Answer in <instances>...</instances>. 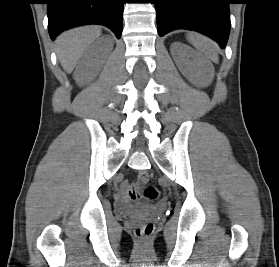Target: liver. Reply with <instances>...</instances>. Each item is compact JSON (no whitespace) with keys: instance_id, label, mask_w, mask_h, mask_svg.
Instances as JSON below:
<instances>
[{"instance_id":"obj_1","label":"liver","mask_w":279,"mask_h":267,"mask_svg":"<svg viewBox=\"0 0 279 267\" xmlns=\"http://www.w3.org/2000/svg\"><path fill=\"white\" fill-rule=\"evenodd\" d=\"M101 35L98 26H84L68 30L56 40V53L62 67L71 73L84 51Z\"/></svg>"}]
</instances>
